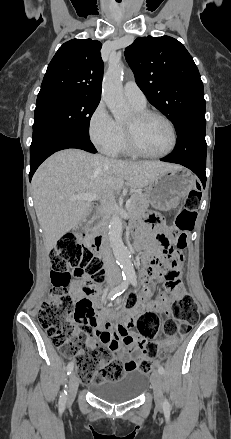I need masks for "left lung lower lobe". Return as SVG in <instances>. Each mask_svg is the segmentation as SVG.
I'll return each mask as SVG.
<instances>
[{"label":"left lung lower lobe","instance_id":"0a47b994","mask_svg":"<svg viewBox=\"0 0 231 439\" xmlns=\"http://www.w3.org/2000/svg\"><path fill=\"white\" fill-rule=\"evenodd\" d=\"M206 120L194 121L185 125L177 134L176 147L171 154L161 161L181 164L192 170L206 184V153L205 141Z\"/></svg>","mask_w":231,"mask_h":439}]
</instances>
